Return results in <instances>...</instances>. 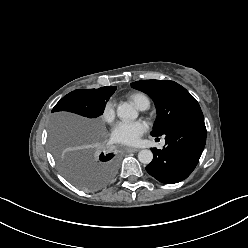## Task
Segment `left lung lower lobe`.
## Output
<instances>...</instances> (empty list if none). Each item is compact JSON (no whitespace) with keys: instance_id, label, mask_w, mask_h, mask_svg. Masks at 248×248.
<instances>
[{"instance_id":"left-lung-lower-lobe-1","label":"left lung lower lobe","mask_w":248,"mask_h":248,"mask_svg":"<svg viewBox=\"0 0 248 248\" xmlns=\"http://www.w3.org/2000/svg\"><path fill=\"white\" fill-rule=\"evenodd\" d=\"M206 135L202 112L184 118L164 134L166 147L163 150L152 149L153 160L147 165V172L166 184L186 179L200 159Z\"/></svg>"}]
</instances>
